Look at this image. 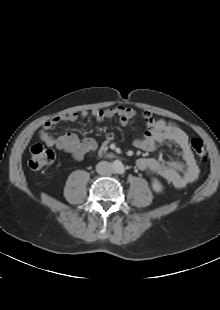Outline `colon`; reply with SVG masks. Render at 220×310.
<instances>
[{
	"label": "colon",
	"instance_id": "5ec220e1",
	"mask_svg": "<svg viewBox=\"0 0 220 310\" xmlns=\"http://www.w3.org/2000/svg\"><path fill=\"white\" fill-rule=\"evenodd\" d=\"M191 147L200 160L206 158V148L201 139L195 138L191 142ZM55 160V153L53 150L46 148L41 143H35L30 148L29 167L32 170H40L51 165Z\"/></svg>",
	"mask_w": 220,
	"mask_h": 310
}]
</instances>
